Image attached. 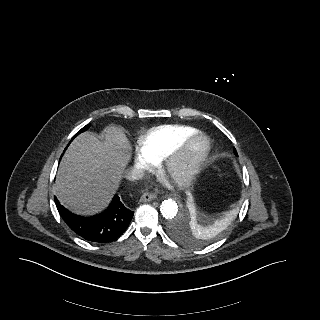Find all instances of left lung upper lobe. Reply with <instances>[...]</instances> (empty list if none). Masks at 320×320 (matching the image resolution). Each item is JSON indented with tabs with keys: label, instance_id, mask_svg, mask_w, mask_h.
Wrapping results in <instances>:
<instances>
[{
	"label": "left lung upper lobe",
	"instance_id": "left-lung-upper-lobe-1",
	"mask_svg": "<svg viewBox=\"0 0 320 320\" xmlns=\"http://www.w3.org/2000/svg\"><path fill=\"white\" fill-rule=\"evenodd\" d=\"M234 153H235V155L237 156V152H236V150L234 149Z\"/></svg>",
	"mask_w": 320,
	"mask_h": 320
}]
</instances>
